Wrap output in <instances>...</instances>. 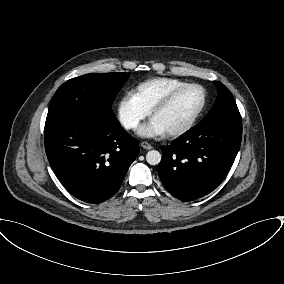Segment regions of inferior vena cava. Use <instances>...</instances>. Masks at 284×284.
<instances>
[{
  "instance_id": "inferior-vena-cava-1",
  "label": "inferior vena cava",
  "mask_w": 284,
  "mask_h": 284,
  "mask_svg": "<svg viewBox=\"0 0 284 284\" xmlns=\"http://www.w3.org/2000/svg\"><path fill=\"white\" fill-rule=\"evenodd\" d=\"M129 126H136L134 123H130V125Z\"/></svg>"
}]
</instances>
